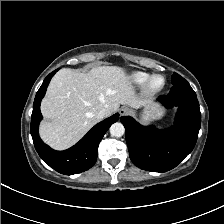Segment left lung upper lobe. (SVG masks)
I'll return each instance as SVG.
<instances>
[{
	"mask_svg": "<svg viewBox=\"0 0 224 224\" xmlns=\"http://www.w3.org/2000/svg\"><path fill=\"white\" fill-rule=\"evenodd\" d=\"M183 81H185V79L183 77H181L179 74L174 72V74L172 76V80H171L172 84L176 85V84H178L180 82H183Z\"/></svg>",
	"mask_w": 224,
	"mask_h": 224,
	"instance_id": "1",
	"label": "left lung upper lobe"
}]
</instances>
